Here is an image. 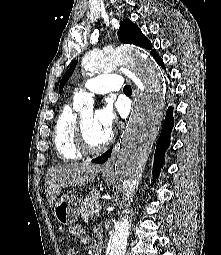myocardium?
Returning <instances> with one entry per match:
<instances>
[{"instance_id":"obj_1","label":"myocardium","mask_w":221,"mask_h":255,"mask_svg":"<svg viewBox=\"0 0 221 255\" xmlns=\"http://www.w3.org/2000/svg\"><path fill=\"white\" fill-rule=\"evenodd\" d=\"M76 141H77V146H78L79 150L83 154L94 155V154H99V153L104 152L109 147V145L113 141V134H112V132H110L109 137L102 145H100L98 147L91 146L89 144L86 134H85L83 118L80 117V118H78V122H77Z\"/></svg>"}]
</instances>
